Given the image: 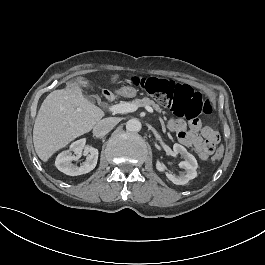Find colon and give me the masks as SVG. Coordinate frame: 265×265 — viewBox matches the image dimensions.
<instances>
[{"label": "colon", "instance_id": "5ec220e1", "mask_svg": "<svg viewBox=\"0 0 265 265\" xmlns=\"http://www.w3.org/2000/svg\"><path fill=\"white\" fill-rule=\"evenodd\" d=\"M137 87L162 106L169 108L172 114L178 118L190 120L199 115H208L212 110L209 100L204 99L187 84L144 76L138 79ZM223 154L224 147H217L212 153V160L220 161Z\"/></svg>", "mask_w": 265, "mask_h": 265}]
</instances>
